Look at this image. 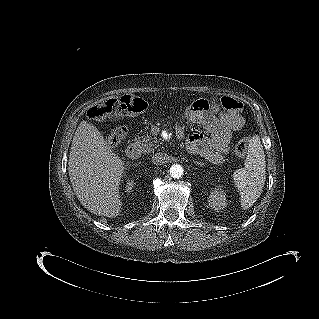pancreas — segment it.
I'll list each match as a JSON object with an SVG mask.
<instances>
[{"label": "pancreas", "instance_id": "obj_1", "mask_svg": "<svg viewBox=\"0 0 319 319\" xmlns=\"http://www.w3.org/2000/svg\"><path fill=\"white\" fill-rule=\"evenodd\" d=\"M135 142L140 146L143 153H150L158 147L157 141L149 135H146L142 139H136Z\"/></svg>", "mask_w": 319, "mask_h": 319}]
</instances>
